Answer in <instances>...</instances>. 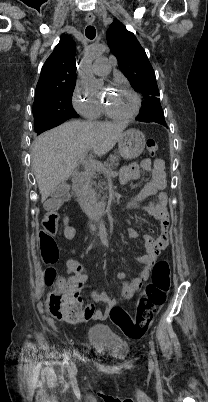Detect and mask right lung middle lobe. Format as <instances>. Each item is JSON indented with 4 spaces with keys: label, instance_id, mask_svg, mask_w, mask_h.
I'll list each match as a JSON object with an SVG mask.
<instances>
[{
    "label": "right lung middle lobe",
    "instance_id": "1",
    "mask_svg": "<svg viewBox=\"0 0 208 402\" xmlns=\"http://www.w3.org/2000/svg\"><path fill=\"white\" fill-rule=\"evenodd\" d=\"M75 83L64 84L35 94L33 104L34 121L43 118H57L66 121L78 117L72 107ZM38 134V130H35Z\"/></svg>",
    "mask_w": 208,
    "mask_h": 402
}]
</instances>
